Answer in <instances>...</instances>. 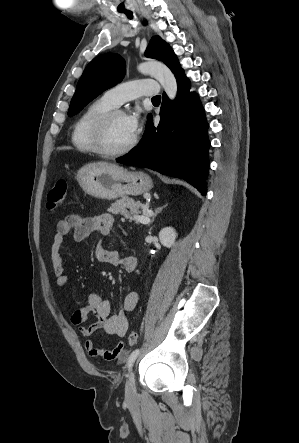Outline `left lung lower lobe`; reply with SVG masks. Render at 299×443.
<instances>
[{"instance_id": "obj_1", "label": "left lung lower lobe", "mask_w": 299, "mask_h": 443, "mask_svg": "<svg viewBox=\"0 0 299 443\" xmlns=\"http://www.w3.org/2000/svg\"><path fill=\"white\" fill-rule=\"evenodd\" d=\"M175 77L177 97L170 101L163 94L159 125H153L149 114L139 144L116 161L184 179L205 196L210 146L208 124L198 96L189 91L190 83L184 71L180 70Z\"/></svg>"}]
</instances>
